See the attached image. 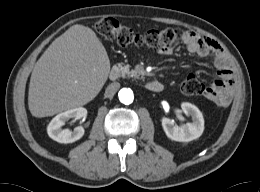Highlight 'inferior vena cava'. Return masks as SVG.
<instances>
[{
    "label": "inferior vena cava",
    "mask_w": 260,
    "mask_h": 192,
    "mask_svg": "<svg viewBox=\"0 0 260 192\" xmlns=\"http://www.w3.org/2000/svg\"><path fill=\"white\" fill-rule=\"evenodd\" d=\"M119 88H120V83H118V82H114V83H111L110 85H108V87L106 88V91H105L106 97L112 98L115 95V93L118 91Z\"/></svg>",
    "instance_id": "inferior-vena-cava-1"
}]
</instances>
